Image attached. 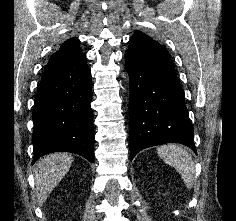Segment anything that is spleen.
<instances>
[{
	"label": "spleen",
	"mask_w": 236,
	"mask_h": 221,
	"mask_svg": "<svg viewBox=\"0 0 236 221\" xmlns=\"http://www.w3.org/2000/svg\"><path fill=\"white\" fill-rule=\"evenodd\" d=\"M157 153L165 163L178 171L187 188H192L195 164L187 150L175 144H166L158 147Z\"/></svg>",
	"instance_id": "spleen-1"
}]
</instances>
